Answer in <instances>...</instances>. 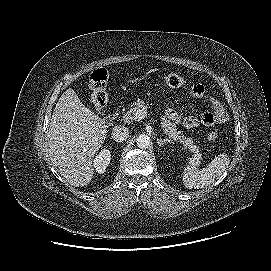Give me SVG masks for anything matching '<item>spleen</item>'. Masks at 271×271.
Here are the masks:
<instances>
[{
  "mask_svg": "<svg viewBox=\"0 0 271 271\" xmlns=\"http://www.w3.org/2000/svg\"><path fill=\"white\" fill-rule=\"evenodd\" d=\"M230 158L227 154L216 156L207 167L199 170L191 160L183 171V184L188 189H200L210 185L228 168Z\"/></svg>",
  "mask_w": 271,
  "mask_h": 271,
  "instance_id": "1",
  "label": "spleen"
}]
</instances>
